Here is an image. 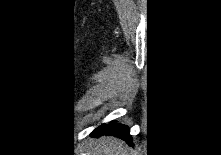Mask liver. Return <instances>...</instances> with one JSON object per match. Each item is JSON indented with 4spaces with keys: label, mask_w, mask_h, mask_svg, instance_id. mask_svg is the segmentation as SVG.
<instances>
[{
    "label": "liver",
    "mask_w": 221,
    "mask_h": 155,
    "mask_svg": "<svg viewBox=\"0 0 221 155\" xmlns=\"http://www.w3.org/2000/svg\"><path fill=\"white\" fill-rule=\"evenodd\" d=\"M89 155H131L124 143L113 137H102L88 146Z\"/></svg>",
    "instance_id": "6515ba94"
}]
</instances>
